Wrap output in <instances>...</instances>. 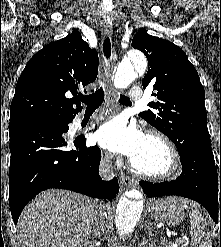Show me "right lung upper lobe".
I'll return each mask as SVG.
<instances>
[{
	"label": "right lung upper lobe",
	"instance_id": "right-lung-upper-lobe-1",
	"mask_svg": "<svg viewBox=\"0 0 221 247\" xmlns=\"http://www.w3.org/2000/svg\"><path fill=\"white\" fill-rule=\"evenodd\" d=\"M97 73V51L80 32L74 30L46 45L28 61L17 81L9 127L72 121L82 107L69 97L86 92L83 88L95 81Z\"/></svg>",
	"mask_w": 221,
	"mask_h": 247
}]
</instances>
